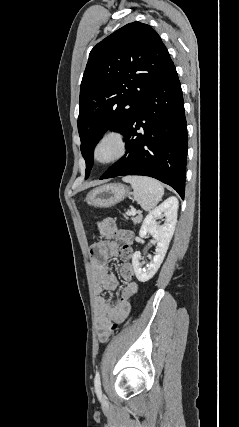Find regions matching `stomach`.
<instances>
[{"label": "stomach", "instance_id": "stomach-1", "mask_svg": "<svg viewBox=\"0 0 239 427\" xmlns=\"http://www.w3.org/2000/svg\"><path fill=\"white\" fill-rule=\"evenodd\" d=\"M129 193L123 184H106L91 190L86 201L89 205L108 208L121 202Z\"/></svg>", "mask_w": 239, "mask_h": 427}]
</instances>
